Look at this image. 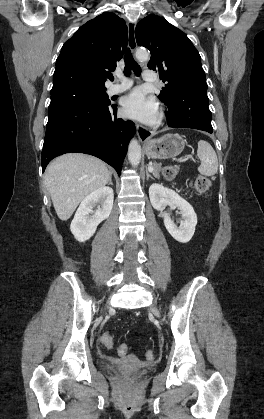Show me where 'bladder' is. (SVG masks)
I'll use <instances>...</instances> for the list:
<instances>
[{
    "mask_svg": "<svg viewBox=\"0 0 264 419\" xmlns=\"http://www.w3.org/2000/svg\"><path fill=\"white\" fill-rule=\"evenodd\" d=\"M103 368L105 370H108L110 372H113V373L122 375V376H124L126 378H129V379H137V378H139V377H141V376L144 375V372H128V371H123V370H120L119 368H117V367H115V366H113L111 364H107V363H104L103 364Z\"/></svg>",
    "mask_w": 264,
    "mask_h": 419,
    "instance_id": "obj_1",
    "label": "bladder"
}]
</instances>
